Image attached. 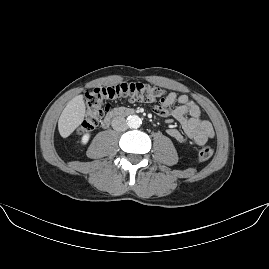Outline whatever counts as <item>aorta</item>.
I'll use <instances>...</instances> for the list:
<instances>
[{"mask_svg":"<svg viewBox=\"0 0 269 269\" xmlns=\"http://www.w3.org/2000/svg\"><path fill=\"white\" fill-rule=\"evenodd\" d=\"M142 120L137 115H131L127 118V124L130 128L137 129L140 127Z\"/></svg>","mask_w":269,"mask_h":269,"instance_id":"obj_1","label":"aorta"}]
</instances>
